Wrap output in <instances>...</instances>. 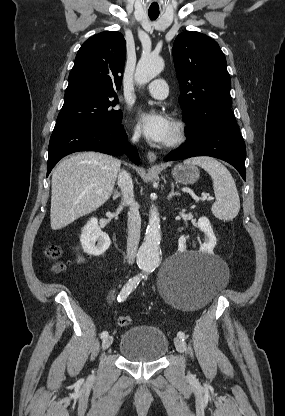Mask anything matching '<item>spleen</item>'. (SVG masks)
<instances>
[{"label": "spleen", "mask_w": 285, "mask_h": 416, "mask_svg": "<svg viewBox=\"0 0 285 416\" xmlns=\"http://www.w3.org/2000/svg\"><path fill=\"white\" fill-rule=\"evenodd\" d=\"M184 164L200 166L212 178L213 190L216 198L211 212L218 220H233L239 214L240 198L236 184L227 168L217 162L215 158L201 156V158H189Z\"/></svg>", "instance_id": "spleen-1"}]
</instances>
